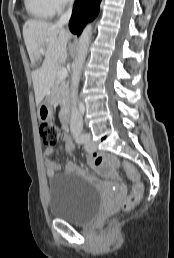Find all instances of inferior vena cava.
<instances>
[{
  "mask_svg": "<svg viewBox=\"0 0 174 258\" xmlns=\"http://www.w3.org/2000/svg\"><path fill=\"white\" fill-rule=\"evenodd\" d=\"M72 4L73 0H70L69 8L68 10L59 18L56 25L62 27L63 25L67 24L69 22V19L71 17L72 13Z\"/></svg>",
  "mask_w": 174,
  "mask_h": 258,
  "instance_id": "1",
  "label": "inferior vena cava"
}]
</instances>
